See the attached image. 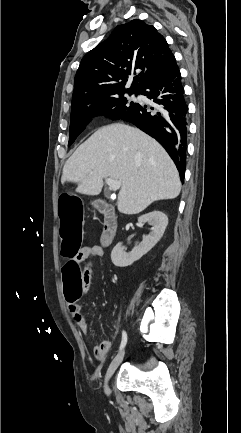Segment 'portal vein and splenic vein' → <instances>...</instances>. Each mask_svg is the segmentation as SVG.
<instances>
[{"label": "portal vein and splenic vein", "mask_w": 241, "mask_h": 433, "mask_svg": "<svg viewBox=\"0 0 241 433\" xmlns=\"http://www.w3.org/2000/svg\"><path fill=\"white\" fill-rule=\"evenodd\" d=\"M105 182H106V184L113 190V191H116V190H118L120 187H121V185H122V183H121V181H119V180H113V179H111V178H107L106 180H105Z\"/></svg>", "instance_id": "1"}]
</instances>
